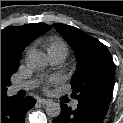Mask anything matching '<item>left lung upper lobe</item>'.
Segmentation results:
<instances>
[{
    "label": "left lung upper lobe",
    "instance_id": "5c2ea615",
    "mask_svg": "<svg viewBox=\"0 0 123 123\" xmlns=\"http://www.w3.org/2000/svg\"><path fill=\"white\" fill-rule=\"evenodd\" d=\"M54 27L72 45L77 57V68L71 79V96L81 103L107 111L115 76L109 50L78 28L65 24H54Z\"/></svg>",
    "mask_w": 123,
    "mask_h": 123
}]
</instances>
